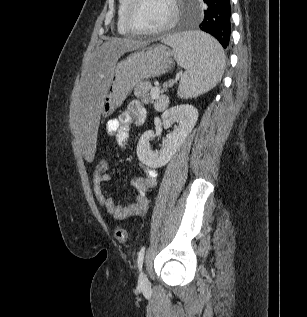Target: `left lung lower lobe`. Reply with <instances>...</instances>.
Masks as SVG:
<instances>
[{
	"label": "left lung lower lobe",
	"mask_w": 307,
	"mask_h": 317,
	"mask_svg": "<svg viewBox=\"0 0 307 317\" xmlns=\"http://www.w3.org/2000/svg\"><path fill=\"white\" fill-rule=\"evenodd\" d=\"M207 9L204 10L203 21L199 28L214 36L223 48L229 46L231 31L230 0H203Z\"/></svg>",
	"instance_id": "obj_1"
}]
</instances>
